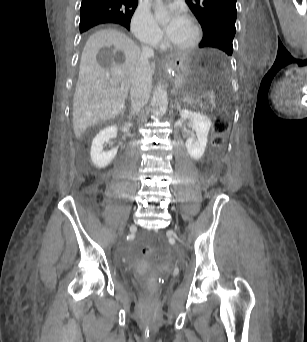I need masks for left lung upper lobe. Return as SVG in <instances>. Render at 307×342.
Listing matches in <instances>:
<instances>
[{
	"mask_svg": "<svg viewBox=\"0 0 307 342\" xmlns=\"http://www.w3.org/2000/svg\"><path fill=\"white\" fill-rule=\"evenodd\" d=\"M185 1L203 30V38L199 47L217 48L232 55V42L236 33L237 0Z\"/></svg>",
	"mask_w": 307,
	"mask_h": 342,
	"instance_id": "left-lung-upper-lobe-1",
	"label": "left lung upper lobe"
}]
</instances>
